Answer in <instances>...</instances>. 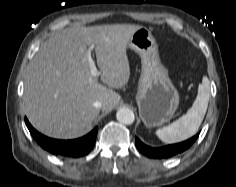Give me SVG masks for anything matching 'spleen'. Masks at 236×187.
<instances>
[{
	"label": "spleen",
	"instance_id": "3e777b00",
	"mask_svg": "<svg viewBox=\"0 0 236 187\" xmlns=\"http://www.w3.org/2000/svg\"><path fill=\"white\" fill-rule=\"evenodd\" d=\"M207 106L206 91H201L187 114L172 124L158 129L156 135L165 143L185 139L192 135L200 124Z\"/></svg>",
	"mask_w": 236,
	"mask_h": 187
}]
</instances>
